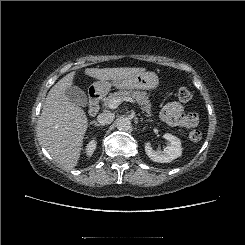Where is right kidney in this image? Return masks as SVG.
<instances>
[{
  "label": "right kidney",
  "instance_id": "1",
  "mask_svg": "<svg viewBox=\"0 0 245 245\" xmlns=\"http://www.w3.org/2000/svg\"><path fill=\"white\" fill-rule=\"evenodd\" d=\"M96 148V141L91 140L86 147V153L88 156H91Z\"/></svg>",
  "mask_w": 245,
  "mask_h": 245
}]
</instances>
